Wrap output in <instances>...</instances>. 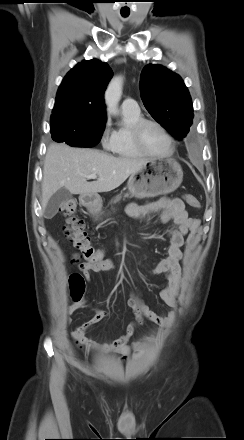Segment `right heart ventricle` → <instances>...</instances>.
I'll use <instances>...</instances> for the list:
<instances>
[{"mask_svg":"<svg viewBox=\"0 0 244 440\" xmlns=\"http://www.w3.org/2000/svg\"><path fill=\"white\" fill-rule=\"evenodd\" d=\"M127 124L123 127H118L113 131L112 143L110 151L120 157H141L142 154L133 144L130 136V127L133 123L142 118L139 112L129 113L123 112Z\"/></svg>","mask_w":244,"mask_h":440,"instance_id":"1","label":"right heart ventricle"}]
</instances>
